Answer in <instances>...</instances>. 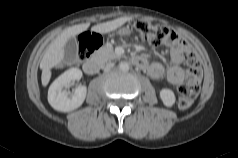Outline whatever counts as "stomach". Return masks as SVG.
I'll use <instances>...</instances> for the list:
<instances>
[{
  "label": "stomach",
  "mask_w": 238,
  "mask_h": 158,
  "mask_svg": "<svg viewBox=\"0 0 238 158\" xmlns=\"http://www.w3.org/2000/svg\"><path fill=\"white\" fill-rule=\"evenodd\" d=\"M131 29L129 27H125V28H121L119 31H118V34L119 35H130L131 34Z\"/></svg>",
  "instance_id": "0dacf381"
}]
</instances>
